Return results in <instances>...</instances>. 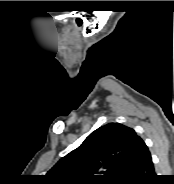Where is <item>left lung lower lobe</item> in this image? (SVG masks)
<instances>
[{"label":"left lung lower lobe","instance_id":"0a47b994","mask_svg":"<svg viewBox=\"0 0 174 184\" xmlns=\"http://www.w3.org/2000/svg\"><path fill=\"white\" fill-rule=\"evenodd\" d=\"M155 178L150 152L141 139L129 165L127 176L121 184H151Z\"/></svg>","mask_w":174,"mask_h":184}]
</instances>
